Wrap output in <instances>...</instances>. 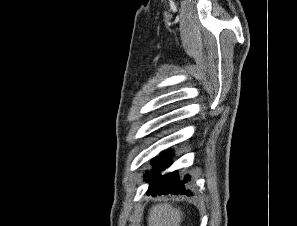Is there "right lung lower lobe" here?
<instances>
[{
  "mask_svg": "<svg viewBox=\"0 0 297 226\" xmlns=\"http://www.w3.org/2000/svg\"><path fill=\"white\" fill-rule=\"evenodd\" d=\"M170 154L164 153V156L158 157L152 161L154 169L146 173L147 182H150L147 194L152 196L166 194H186L192 195V192L185 189L184 184L179 180L177 172L169 173L161 176L160 169H164L170 165ZM189 180V176H185L184 182Z\"/></svg>",
  "mask_w": 297,
  "mask_h": 226,
  "instance_id": "98d812e1",
  "label": "right lung lower lobe"
}]
</instances>
